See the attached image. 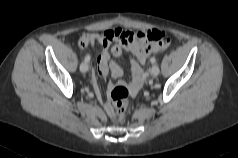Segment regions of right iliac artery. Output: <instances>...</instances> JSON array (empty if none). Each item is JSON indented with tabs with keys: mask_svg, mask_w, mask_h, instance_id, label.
Masks as SVG:
<instances>
[{
	"mask_svg": "<svg viewBox=\"0 0 238 158\" xmlns=\"http://www.w3.org/2000/svg\"><path fill=\"white\" fill-rule=\"evenodd\" d=\"M90 60V55H86L85 61L88 62Z\"/></svg>",
	"mask_w": 238,
	"mask_h": 158,
	"instance_id": "82829eb1",
	"label": "right iliac artery"
}]
</instances>
